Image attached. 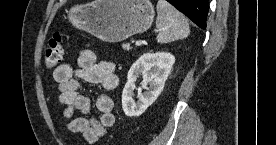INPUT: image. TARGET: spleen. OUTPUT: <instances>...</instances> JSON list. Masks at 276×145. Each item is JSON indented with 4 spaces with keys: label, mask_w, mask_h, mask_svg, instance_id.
Segmentation results:
<instances>
[{
    "label": "spleen",
    "mask_w": 276,
    "mask_h": 145,
    "mask_svg": "<svg viewBox=\"0 0 276 145\" xmlns=\"http://www.w3.org/2000/svg\"><path fill=\"white\" fill-rule=\"evenodd\" d=\"M156 27L157 41L168 43L184 39L189 35V25L186 18L166 0H158Z\"/></svg>",
    "instance_id": "obj_1"
}]
</instances>
